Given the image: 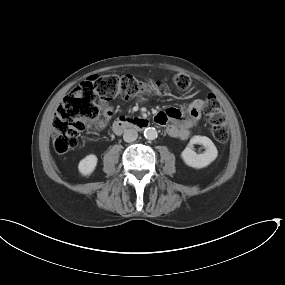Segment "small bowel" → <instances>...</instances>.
I'll return each instance as SVG.
<instances>
[{"label":"small bowel","instance_id":"1","mask_svg":"<svg viewBox=\"0 0 285 285\" xmlns=\"http://www.w3.org/2000/svg\"><path fill=\"white\" fill-rule=\"evenodd\" d=\"M99 107L105 118L110 119L112 117L113 107L106 99L99 100ZM201 110V101H194L189 104L186 113L175 107H169L160 113L165 114L167 121L171 123L167 128L168 134L173 137L186 139L190 135V127L201 116Z\"/></svg>","mask_w":285,"mask_h":285}]
</instances>
